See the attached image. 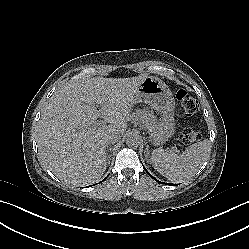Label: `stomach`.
<instances>
[{"instance_id": "obj_1", "label": "stomach", "mask_w": 249, "mask_h": 249, "mask_svg": "<svg viewBox=\"0 0 249 249\" xmlns=\"http://www.w3.org/2000/svg\"><path fill=\"white\" fill-rule=\"evenodd\" d=\"M135 97L136 102H144L160 114L158 128L150 139L153 144L162 145L174 133L173 98L170 89L160 79L149 77L138 86Z\"/></svg>"}]
</instances>
